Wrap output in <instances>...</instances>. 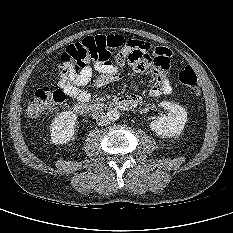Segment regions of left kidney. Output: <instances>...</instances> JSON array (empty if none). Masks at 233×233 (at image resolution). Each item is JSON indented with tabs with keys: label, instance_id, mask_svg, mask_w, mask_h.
I'll return each instance as SVG.
<instances>
[{
	"label": "left kidney",
	"instance_id": "obj_1",
	"mask_svg": "<svg viewBox=\"0 0 233 233\" xmlns=\"http://www.w3.org/2000/svg\"><path fill=\"white\" fill-rule=\"evenodd\" d=\"M160 106L168 110L167 115L158 116L150 123L153 132L164 137H173L181 134L188 120L187 112L182 106L162 101Z\"/></svg>",
	"mask_w": 233,
	"mask_h": 233
}]
</instances>
